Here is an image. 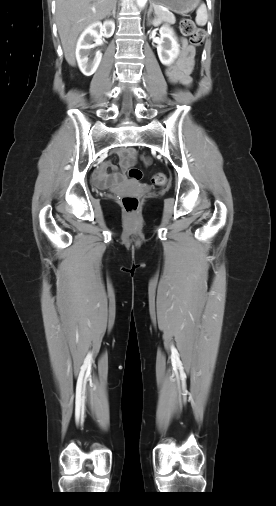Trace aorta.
<instances>
[{
    "label": "aorta",
    "instance_id": "762f6f07",
    "mask_svg": "<svg viewBox=\"0 0 276 506\" xmlns=\"http://www.w3.org/2000/svg\"><path fill=\"white\" fill-rule=\"evenodd\" d=\"M147 0H137V5L140 7V8H143L146 4Z\"/></svg>",
    "mask_w": 276,
    "mask_h": 506
}]
</instances>
